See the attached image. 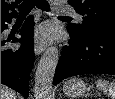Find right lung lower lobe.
Returning <instances> with one entry per match:
<instances>
[{
    "label": "right lung lower lobe",
    "instance_id": "right-lung-lower-lobe-1",
    "mask_svg": "<svg viewBox=\"0 0 115 99\" xmlns=\"http://www.w3.org/2000/svg\"><path fill=\"white\" fill-rule=\"evenodd\" d=\"M11 17L1 21V33L8 28L7 23L12 22ZM33 17L26 19L22 28L18 32L21 38H13V42L22 43L17 50L7 47L11 39L1 37V83L28 97V81L32 65L34 63L33 48Z\"/></svg>",
    "mask_w": 115,
    "mask_h": 99
}]
</instances>
